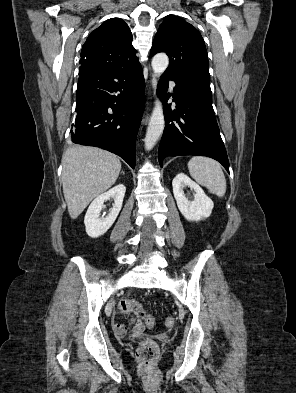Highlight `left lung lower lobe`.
<instances>
[{
	"label": "left lung lower lobe",
	"instance_id": "0a47b994",
	"mask_svg": "<svg viewBox=\"0 0 296 393\" xmlns=\"http://www.w3.org/2000/svg\"><path fill=\"white\" fill-rule=\"evenodd\" d=\"M162 75L158 94L164 103L165 129L159 145L160 166L167 156L200 155L219 161L229 172V161L212 107L209 85L179 84L174 88L176 110L167 104L168 80Z\"/></svg>",
	"mask_w": 296,
	"mask_h": 393
}]
</instances>
